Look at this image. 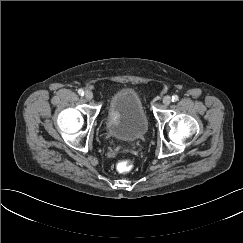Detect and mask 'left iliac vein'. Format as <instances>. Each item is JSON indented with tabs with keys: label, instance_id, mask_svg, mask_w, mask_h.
I'll return each mask as SVG.
<instances>
[{
	"label": "left iliac vein",
	"instance_id": "obj_1",
	"mask_svg": "<svg viewBox=\"0 0 243 243\" xmlns=\"http://www.w3.org/2000/svg\"><path fill=\"white\" fill-rule=\"evenodd\" d=\"M171 97L170 96H165L164 98H163V103L165 104V105H169L170 103H171Z\"/></svg>",
	"mask_w": 243,
	"mask_h": 243
}]
</instances>
